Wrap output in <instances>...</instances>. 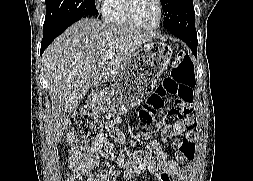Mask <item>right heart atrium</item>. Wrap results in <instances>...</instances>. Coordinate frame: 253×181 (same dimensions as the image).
Returning a JSON list of instances; mask_svg holds the SVG:
<instances>
[{"label":"right heart atrium","instance_id":"right-heart-atrium-1","mask_svg":"<svg viewBox=\"0 0 253 181\" xmlns=\"http://www.w3.org/2000/svg\"><path fill=\"white\" fill-rule=\"evenodd\" d=\"M94 1H95V5L98 8V10L103 12V8H104V5L107 0H94Z\"/></svg>","mask_w":253,"mask_h":181}]
</instances>
